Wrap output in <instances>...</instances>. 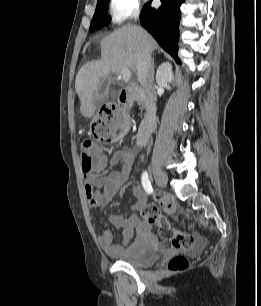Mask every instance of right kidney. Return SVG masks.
<instances>
[{"label": "right kidney", "mask_w": 261, "mask_h": 306, "mask_svg": "<svg viewBox=\"0 0 261 306\" xmlns=\"http://www.w3.org/2000/svg\"><path fill=\"white\" fill-rule=\"evenodd\" d=\"M173 81L172 65L169 62L162 63L156 73V82L159 86L170 89L169 84Z\"/></svg>", "instance_id": "obj_1"}]
</instances>
